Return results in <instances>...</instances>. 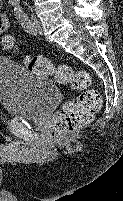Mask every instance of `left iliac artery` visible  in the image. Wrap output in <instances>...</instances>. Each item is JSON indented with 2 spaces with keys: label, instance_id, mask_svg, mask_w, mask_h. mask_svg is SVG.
<instances>
[{
  "label": "left iliac artery",
  "instance_id": "1",
  "mask_svg": "<svg viewBox=\"0 0 123 201\" xmlns=\"http://www.w3.org/2000/svg\"><path fill=\"white\" fill-rule=\"evenodd\" d=\"M16 18L22 25V27L25 29L26 32L33 34L34 29L32 26L31 21L27 17V14L23 11L22 7L18 4L14 8Z\"/></svg>",
  "mask_w": 123,
  "mask_h": 201
}]
</instances>
